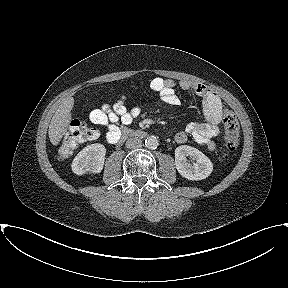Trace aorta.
<instances>
[{
  "label": "aorta",
  "instance_id": "1",
  "mask_svg": "<svg viewBox=\"0 0 288 288\" xmlns=\"http://www.w3.org/2000/svg\"><path fill=\"white\" fill-rule=\"evenodd\" d=\"M159 145V141L155 136H149L145 139V146L150 149H156Z\"/></svg>",
  "mask_w": 288,
  "mask_h": 288
}]
</instances>
